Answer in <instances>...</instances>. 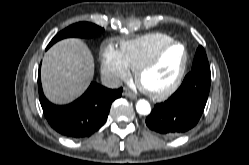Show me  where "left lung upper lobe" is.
Returning a JSON list of instances; mask_svg holds the SVG:
<instances>
[{
    "label": "left lung upper lobe",
    "instance_id": "1",
    "mask_svg": "<svg viewBox=\"0 0 249 165\" xmlns=\"http://www.w3.org/2000/svg\"><path fill=\"white\" fill-rule=\"evenodd\" d=\"M192 70H203L210 72L208 59L202 46H199L196 51L191 71Z\"/></svg>",
    "mask_w": 249,
    "mask_h": 165
}]
</instances>
